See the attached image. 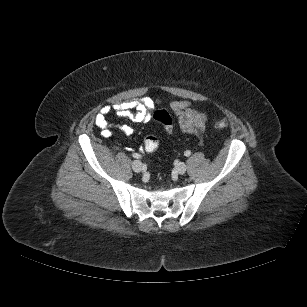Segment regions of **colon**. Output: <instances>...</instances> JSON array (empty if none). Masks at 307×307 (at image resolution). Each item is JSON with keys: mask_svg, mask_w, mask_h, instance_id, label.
Listing matches in <instances>:
<instances>
[{"mask_svg": "<svg viewBox=\"0 0 307 307\" xmlns=\"http://www.w3.org/2000/svg\"><path fill=\"white\" fill-rule=\"evenodd\" d=\"M153 118L161 123L167 131L173 129V119L171 114L164 109L158 110L153 114ZM228 126V120L226 117H219L214 121V127L217 129H223ZM143 147L147 152H153L159 147V139L154 135H147L143 141Z\"/></svg>", "mask_w": 307, "mask_h": 307, "instance_id": "colon-1", "label": "colon"}]
</instances>
